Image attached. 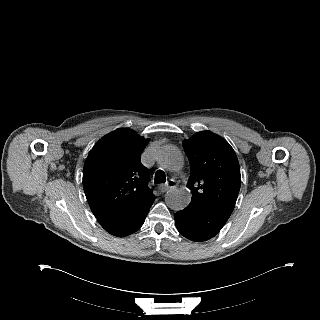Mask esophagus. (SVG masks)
I'll return each instance as SVG.
<instances>
[{
	"label": "esophagus",
	"mask_w": 320,
	"mask_h": 320,
	"mask_svg": "<svg viewBox=\"0 0 320 320\" xmlns=\"http://www.w3.org/2000/svg\"><path fill=\"white\" fill-rule=\"evenodd\" d=\"M176 187H177V185H176L175 180L171 179L166 183V185H164L162 187V190L163 191H169V190L175 189Z\"/></svg>",
	"instance_id": "esophagus-1"
}]
</instances>
